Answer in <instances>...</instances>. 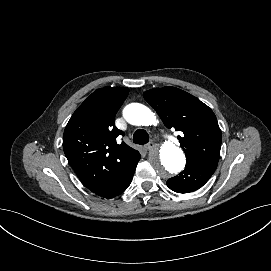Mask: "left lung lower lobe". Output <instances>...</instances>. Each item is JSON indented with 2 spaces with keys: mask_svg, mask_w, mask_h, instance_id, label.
<instances>
[{
  "mask_svg": "<svg viewBox=\"0 0 271 271\" xmlns=\"http://www.w3.org/2000/svg\"><path fill=\"white\" fill-rule=\"evenodd\" d=\"M217 166L210 162L200 165L186 164L178 176L168 179L167 186L178 193H189L201 188L212 176Z\"/></svg>",
  "mask_w": 271,
  "mask_h": 271,
  "instance_id": "left-lung-lower-lobe-1",
  "label": "left lung lower lobe"
}]
</instances>
